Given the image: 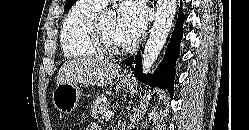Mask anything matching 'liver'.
<instances>
[{
	"mask_svg": "<svg viewBox=\"0 0 249 130\" xmlns=\"http://www.w3.org/2000/svg\"><path fill=\"white\" fill-rule=\"evenodd\" d=\"M121 67L99 58H78L65 62L58 71L57 86L82 83L107 86L112 83Z\"/></svg>",
	"mask_w": 249,
	"mask_h": 130,
	"instance_id": "6515ba94",
	"label": "liver"
}]
</instances>
